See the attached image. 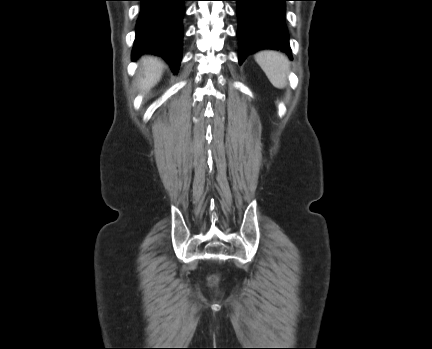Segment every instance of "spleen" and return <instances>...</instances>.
I'll use <instances>...</instances> for the list:
<instances>
[{"mask_svg":"<svg viewBox=\"0 0 432 349\" xmlns=\"http://www.w3.org/2000/svg\"><path fill=\"white\" fill-rule=\"evenodd\" d=\"M255 61L275 88L283 89L287 85V73L290 67L287 56L278 51L265 50L255 55Z\"/></svg>","mask_w":432,"mask_h":349,"instance_id":"obj_1","label":"spleen"}]
</instances>
